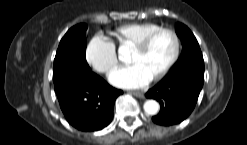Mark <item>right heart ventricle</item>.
<instances>
[{
	"instance_id": "e07e8e85",
	"label": "right heart ventricle",
	"mask_w": 247,
	"mask_h": 145,
	"mask_svg": "<svg viewBox=\"0 0 247 145\" xmlns=\"http://www.w3.org/2000/svg\"><path fill=\"white\" fill-rule=\"evenodd\" d=\"M158 28H160L159 25L149 22L127 23L112 30L110 35L113 37L114 43L119 47L134 46L146 35Z\"/></svg>"
}]
</instances>
